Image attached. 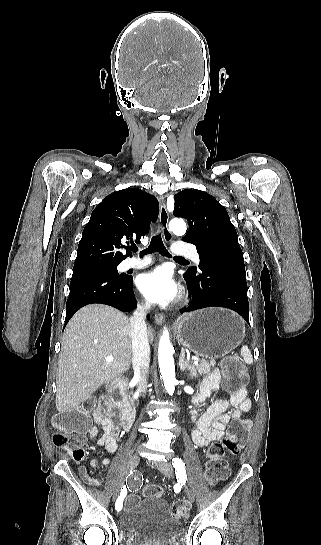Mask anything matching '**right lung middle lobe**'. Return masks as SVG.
<instances>
[{"label":"right lung middle lobe","instance_id":"obj_1","mask_svg":"<svg viewBox=\"0 0 321 545\" xmlns=\"http://www.w3.org/2000/svg\"><path fill=\"white\" fill-rule=\"evenodd\" d=\"M118 264L116 265H103V266H94V267H90L89 269H96V270H101V271H105L109 274H112V275H115V276H123L124 274H118V271L116 269Z\"/></svg>","mask_w":321,"mask_h":545}]
</instances>
